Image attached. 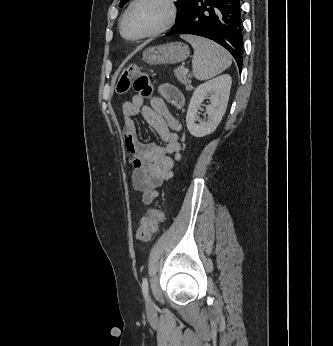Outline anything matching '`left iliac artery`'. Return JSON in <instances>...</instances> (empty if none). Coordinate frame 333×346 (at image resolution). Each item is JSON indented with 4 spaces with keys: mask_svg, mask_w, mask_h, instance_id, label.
Masks as SVG:
<instances>
[{
    "mask_svg": "<svg viewBox=\"0 0 333 346\" xmlns=\"http://www.w3.org/2000/svg\"><path fill=\"white\" fill-rule=\"evenodd\" d=\"M142 292L145 297L148 296V278L145 277L142 281Z\"/></svg>",
    "mask_w": 333,
    "mask_h": 346,
    "instance_id": "obj_1",
    "label": "left iliac artery"
}]
</instances>
